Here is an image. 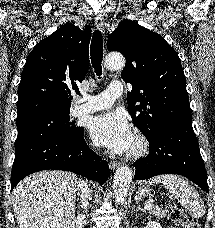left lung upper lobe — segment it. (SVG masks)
<instances>
[{"instance_id":"left-lung-upper-lobe-1","label":"left lung upper lobe","mask_w":215,"mask_h":228,"mask_svg":"<svg viewBox=\"0 0 215 228\" xmlns=\"http://www.w3.org/2000/svg\"><path fill=\"white\" fill-rule=\"evenodd\" d=\"M107 49L126 58L121 77L132 85L128 111L148 140L164 125L192 121L179 56L161 35L123 20L108 37Z\"/></svg>"}]
</instances>
